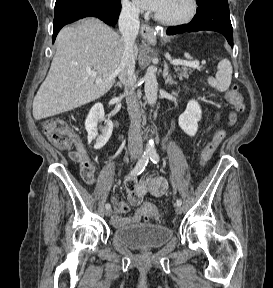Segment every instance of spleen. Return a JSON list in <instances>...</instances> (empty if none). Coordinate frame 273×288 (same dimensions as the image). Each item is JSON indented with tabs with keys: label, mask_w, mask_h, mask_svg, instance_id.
Returning a JSON list of instances; mask_svg holds the SVG:
<instances>
[{
	"label": "spleen",
	"mask_w": 273,
	"mask_h": 288,
	"mask_svg": "<svg viewBox=\"0 0 273 288\" xmlns=\"http://www.w3.org/2000/svg\"><path fill=\"white\" fill-rule=\"evenodd\" d=\"M232 65L228 59H222L217 66L215 77H209L208 83L220 92L226 91L232 79Z\"/></svg>",
	"instance_id": "spleen-1"
}]
</instances>
